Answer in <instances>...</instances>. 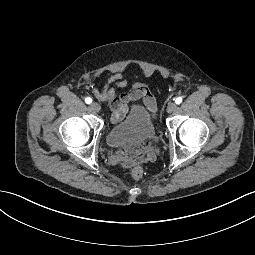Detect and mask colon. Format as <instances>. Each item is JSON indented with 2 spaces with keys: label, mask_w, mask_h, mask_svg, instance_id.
<instances>
[{
  "label": "colon",
  "mask_w": 255,
  "mask_h": 255,
  "mask_svg": "<svg viewBox=\"0 0 255 255\" xmlns=\"http://www.w3.org/2000/svg\"><path fill=\"white\" fill-rule=\"evenodd\" d=\"M131 175L134 179L139 180L143 176V169L141 166L136 165L131 168Z\"/></svg>",
  "instance_id": "1"
}]
</instances>
